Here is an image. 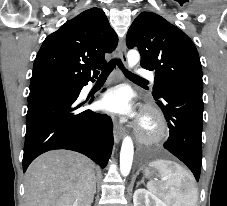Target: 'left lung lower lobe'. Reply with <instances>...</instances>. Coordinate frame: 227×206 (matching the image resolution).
<instances>
[{
  "instance_id": "obj_1",
  "label": "left lung lower lobe",
  "mask_w": 227,
  "mask_h": 206,
  "mask_svg": "<svg viewBox=\"0 0 227 206\" xmlns=\"http://www.w3.org/2000/svg\"><path fill=\"white\" fill-rule=\"evenodd\" d=\"M154 98L170 129L164 149L183 161L198 181L202 162V94L171 89Z\"/></svg>"
}]
</instances>
